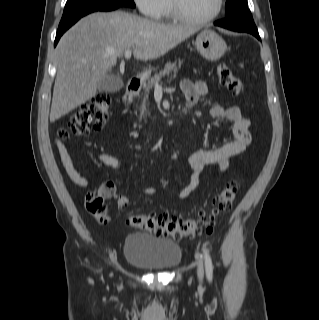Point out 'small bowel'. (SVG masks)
I'll return each mask as SVG.
<instances>
[{
  "label": "small bowel",
  "mask_w": 319,
  "mask_h": 320,
  "mask_svg": "<svg viewBox=\"0 0 319 320\" xmlns=\"http://www.w3.org/2000/svg\"><path fill=\"white\" fill-rule=\"evenodd\" d=\"M181 89L187 99L189 108L195 106L198 100L206 95L208 91L207 85L204 82H192L190 80L182 81ZM209 114L211 117L216 119H227L231 121L233 123L232 130L234 139L225 143L220 148L213 150H200L189 155L188 164L191 169L190 181L178 193V199L180 200L188 198L199 186L201 175L207 167H211L217 172L225 171L229 167L231 159L242 153L251 143V133L249 130L250 121L242 115L241 109L238 106L232 105L229 107H223L221 105H213L209 109ZM55 143L62 167L70 180L80 187L89 186V181L76 169L65 144L58 138ZM96 159L113 168L119 175L118 183L122 184V178L120 176L121 162L116 157L105 153H99L96 155ZM157 192L158 188L156 186H150L143 189V194L147 196H153ZM97 193H104V185H101L98 188ZM107 196H111V194ZM115 198H117L119 204L123 197Z\"/></svg>",
  "instance_id": "c3829d8e"
}]
</instances>
